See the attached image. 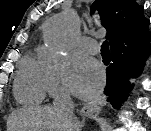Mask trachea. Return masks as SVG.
I'll return each mask as SVG.
<instances>
[{"label": "trachea", "mask_w": 151, "mask_h": 131, "mask_svg": "<svg viewBox=\"0 0 151 131\" xmlns=\"http://www.w3.org/2000/svg\"><path fill=\"white\" fill-rule=\"evenodd\" d=\"M101 55H102L103 61H107V62L110 61L111 56H110V50H109V43L107 41L103 42L101 46Z\"/></svg>", "instance_id": "3493384b"}]
</instances>
